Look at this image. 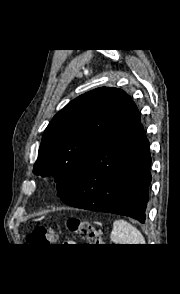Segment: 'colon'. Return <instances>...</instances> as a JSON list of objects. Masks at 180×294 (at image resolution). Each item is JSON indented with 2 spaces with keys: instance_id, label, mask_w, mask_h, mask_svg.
Segmentation results:
<instances>
[{
  "instance_id": "5ec220e1",
  "label": "colon",
  "mask_w": 180,
  "mask_h": 294,
  "mask_svg": "<svg viewBox=\"0 0 180 294\" xmlns=\"http://www.w3.org/2000/svg\"><path fill=\"white\" fill-rule=\"evenodd\" d=\"M67 227L72 232L78 234L83 240L88 241L90 245H102V237L100 232L90 222L72 218L67 221ZM56 240L57 233L51 227L36 228L27 236V242L31 244L52 245Z\"/></svg>"
}]
</instances>
